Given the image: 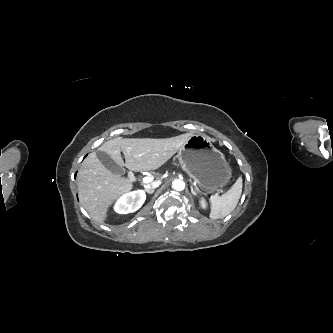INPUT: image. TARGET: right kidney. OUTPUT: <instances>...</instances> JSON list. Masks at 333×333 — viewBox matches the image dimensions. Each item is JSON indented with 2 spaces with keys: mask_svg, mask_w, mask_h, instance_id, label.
<instances>
[{
  "mask_svg": "<svg viewBox=\"0 0 333 333\" xmlns=\"http://www.w3.org/2000/svg\"><path fill=\"white\" fill-rule=\"evenodd\" d=\"M146 200L143 190H136L124 194L116 203L115 211L120 214H128L137 211Z\"/></svg>",
  "mask_w": 333,
  "mask_h": 333,
  "instance_id": "1",
  "label": "right kidney"
}]
</instances>
